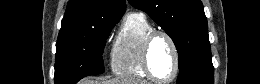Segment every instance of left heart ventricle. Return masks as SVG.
Instances as JSON below:
<instances>
[{
  "instance_id": "b2bd125f",
  "label": "left heart ventricle",
  "mask_w": 260,
  "mask_h": 84,
  "mask_svg": "<svg viewBox=\"0 0 260 84\" xmlns=\"http://www.w3.org/2000/svg\"><path fill=\"white\" fill-rule=\"evenodd\" d=\"M150 64L153 73L159 79H168L173 74L174 54L166 38L158 36L153 41L150 52Z\"/></svg>"
}]
</instances>
